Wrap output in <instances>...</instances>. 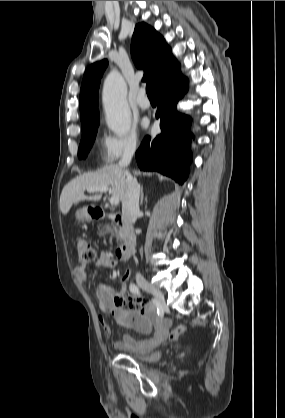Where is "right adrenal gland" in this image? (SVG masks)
<instances>
[{"instance_id":"2a0ac1e0","label":"right adrenal gland","mask_w":285,"mask_h":418,"mask_svg":"<svg viewBox=\"0 0 285 418\" xmlns=\"http://www.w3.org/2000/svg\"><path fill=\"white\" fill-rule=\"evenodd\" d=\"M140 192H141V194H140V205H142L143 199H144L143 185L140 188Z\"/></svg>"}]
</instances>
